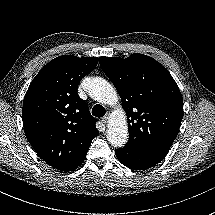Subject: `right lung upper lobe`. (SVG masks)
<instances>
[{
	"mask_svg": "<svg viewBox=\"0 0 215 215\" xmlns=\"http://www.w3.org/2000/svg\"><path fill=\"white\" fill-rule=\"evenodd\" d=\"M97 63L96 57L59 56L39 71L25 94L26 137L36 153L60 171L80 166L98 135L97 120L77 93L80 80Z\"/></svg>",
	"mask_w": 215,
	"mask_h": 215,
	"instance_id": "right-lung-upper-lobe-1",
	"label": "right lung upper lobe"
}]
</instances>
